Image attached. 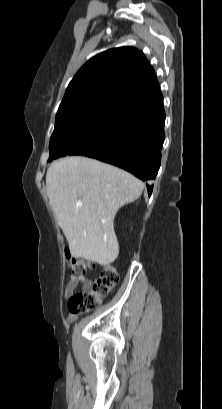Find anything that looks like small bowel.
Instances as JSON below:
<instances>
[{
	"mask_svg": "<svg viewBox=\"0 0 222 409\" xmlns=\"http://www.w3.org/2000/svg\"><path fill=\"white\" fill-rule=\"evenodd\" d=\"M92 285V279L86 278L83 275H71L65 286L64 296L70 297L74 294L75 290L80 286L83 290L89 289ZM76 319L75 315H69L67 320L73 322Z\"/></svg>",
	"mask_w": 222,
	"mask_h": 409,
	"instance_id": "c3829d8e",
	"label": "small bowel"
}]
</instances>
